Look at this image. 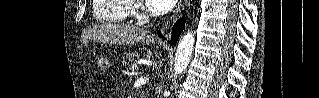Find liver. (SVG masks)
I'll list each match as a JSON object with an SVG mask.
<instances>
[{"label": "liver", "instance_id": "obj_1", "mask_svg": "<svg viewBox=\"0 0 319 98\" xmlns=\"http://www.w3.org/2000/svg\"><path fill=\"white\" fill-rule=\"evenodd\" d=\"M83 37L85 40L90 39L104 44L132 45L145 39L154 43L153 36L148 35L147 30L122 24H101L93 26L83 32Z\"/></svg>", "mask_w": 319, "mask_h": 98}]
</instances>
